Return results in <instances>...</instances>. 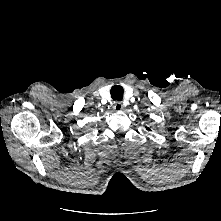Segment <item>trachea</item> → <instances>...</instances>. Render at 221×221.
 <instances>
[{"instance_id": "1", "label": "trachea", "mask_w": 221, "mask_h": 221, "mask_svg": "<svg viewBox=\"0 0 221 221\" xmlns=\"http://www.w3.org/2000/svg\"><path fill=\"white\" fill-rule=\"evenodd\" d=\"M111 97L113 100H117V101H122L123 99V93H124V90H123V87L120 86V85H115L111 88Z\"/></svg>"}]
</instances>
